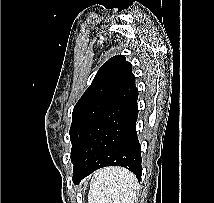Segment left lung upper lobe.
<instances>
[{"mask_svg": "<svg viewBox=\"0 0 214 203\" xmlns=\"http://www.w3.org/2000/svg\"><path fill=\"white\" fill-rule=\"evenodd\" d=\"M134 75L123 55L114 56L98 70L93 82L76 103L72 113L71 160L93 121L118 96Z\"/></svg>", "mask_w": 214, "mask_h": 203, "instance_id": "left-lung-upper-lobe-1", "label": "left lung upper lobe"}]
</instances>
